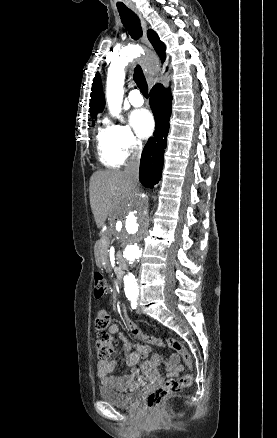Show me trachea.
I'll list each match as a JSON object with an SVG mask.
<instances>
[{
  "instance_id": "trachea-1",
  "label": "trachea",
  "mask_w": 277,
  "mask_h": 438,
  "mask_svg": "<svg viewBox=\"0 0 277 438\" xmlns=\"http://www.w3.org/2000/svg\"><path fill=\"white\" fill-rule=\"evenodd\" d=\"M118 12L121 17V21L129 35L134 40H138L140 37H142V28L136 13L127 7L118 8ZM133 79L143 96L148 98V85L140 65L135 67Z\"/></svg>"
}]
</instances>
